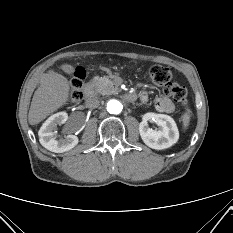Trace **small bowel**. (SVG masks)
<instances>
[{
  "label": "small bowel",
  "instance_id": "c3829d8e",
  "mask_svg": "<svg viewBox=\"0 0 233 233\" xmlns=\"http://www.w3.org/2000/svg\"><path fill=\"white\" fill-rule=\"evenodd\" d=\"M148 98L147 93L146 92H141L140 93V99L142 101H146ZM155 108L159 111V112H163V113H172L175 110V104L172 101L171 98L165 96H159L158 98H156L155 100Z\"/></svg>",
  "mask_w": 233,
  "mask_h": 233
}]
</instances>
